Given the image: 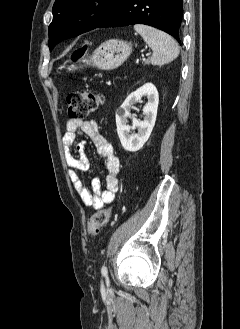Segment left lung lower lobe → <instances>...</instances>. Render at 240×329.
Masks as SVG:
<instances>
[{
    "label": "left lung lower lobe",
    "mask_w": 240,
    "mask_h": 329,
    "mask_svg": "<svg viewBox=\"0 0 240 329\" xmlns=\"http://www.w3.org/2000/svg\"><path fill=\"white\" fill-rule=\"evenodd\" d=\"M182 15L183 0H121L98 27L145 24L167 32L180 43Z\"/></svg>",
    "instance_id": "left-lung-lower-lobe-1"
}]
</instances>
